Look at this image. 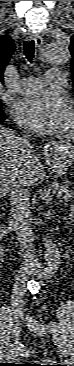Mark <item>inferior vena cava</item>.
<instances>
[{"label": "inferior vena cava", "instance_id": "inferior-vena-cava-1", "mask_svg": "<svg viewBox=\"0 0 74 366\" xmlns=\"http://www.w3.org/2000/svg\"><path fill=\"white\" fill-rule=\"evenodd\" d=\"M20 144L23 151L27 152L29 155L33 147L25 136L20 137ZM8 192L11 205V225L17 232V239L20 243L24 258L21 275L13 287L12 295L14 299H20L25 291L24 281L27 278V274L30 273L28 270L29 264L32 261H36V253L33 244L34 235L30 211L29 185L27 180L16 174L11 179Z\"/></svg>", "mask_w": 74, "mask_h": 366}]
</instances>
